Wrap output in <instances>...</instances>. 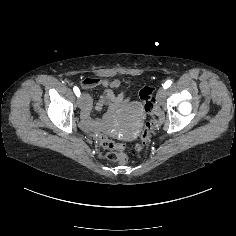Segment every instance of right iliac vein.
<instances>
[{
  "instance_id": "obj_1",
  "label": "right iliac vein",
  "mask_w": 236,
  "mask_h": 236,
  "mask_svg": "<svg viewBox=\"0 0 236 236\" xmlns=\"http://www.w3.org/2000/svg\"><path fill=\"white\" fill-rule=\"evenodd\" d=\"M77 104L79 108H83L85 105V95H81L77 100Z\"/></svg>"
}]
</instances>
